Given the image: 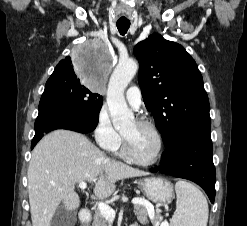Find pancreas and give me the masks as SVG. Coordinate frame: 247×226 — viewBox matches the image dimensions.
<instances>
[{
  "mask_svg": "<svg viewBox=\"0 0 247 226\" xmlns=\"http://www.w3.org/2000/svg\"><path fill=\"white\" fill-rule=\"evenodd\" d=\"M134 213L137 216V219L140 223L142 224H147L148 223V211L147 208L143 205H136L134 207ZM161 221L160 215L156 214L153 223L156 226L157 223ZM92 226H108V220L101 214L100 211H96L94 213V218H93V223Z\"/></svg>",
  "mask_w": 247,
  "mask_h": 226,
  "instance_id": "pancreas-1",
  "label": "pancreas"
}]
</instances>
